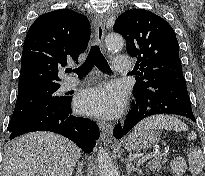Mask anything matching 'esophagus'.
<instances>
[{
  "label": "esophagus",
  "mask_w": 205,
  "mask_h": 176,
  "mask_svg": "<svg viewBox=\"0 0 205 176\" xmlns=\"http://www.w3.org/2000/svg\"><path fill=\"white\" fill-rule=\"evenodd\" d=\"M94 26L96 43L103 48L105 36V18L102 15L97 16L94 20ZM97 125L104 134L110 135L112 133L113 125L111 123L98 121Z\"/></svg>",
  "instance_id": "esophagus-1"
}]
</instances>
